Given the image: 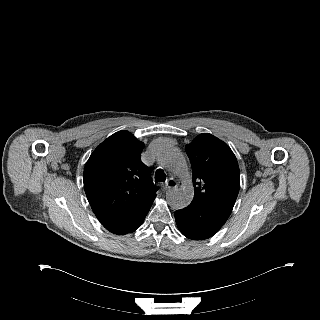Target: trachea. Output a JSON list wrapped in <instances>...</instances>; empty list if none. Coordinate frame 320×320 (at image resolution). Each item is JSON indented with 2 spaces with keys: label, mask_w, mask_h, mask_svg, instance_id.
Segmentation results:
<instances>
[{
  "label": "trachea",
  "mask_w": 320,
  "mask_h": 320,
  "mask_svg": "<svg viewBox=\"0 0 320 320\" xmlns=\"http://www.w3.org/2000/svg\"><path fill=\"white\" fill-rule=\"evenodd\" d=\"M166 180V175L162 169H158L155 172V182H164Z\"/></svg>",
  "instance_id": "1"
}]
</instances>
